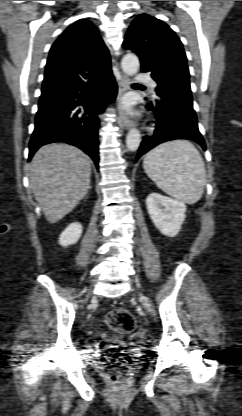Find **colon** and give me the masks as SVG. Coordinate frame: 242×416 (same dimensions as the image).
<instances>
[{
	"mask_svg": "<svg viewBox=\"0 0 242 416\" xmlns=\"http://www.w3.org/2000/svg\"><path fill=\"white\" fill-rule=\"evenodd\" d=\"M106 322L110 329L118 335L131 333L136 327L133 314L122 308L111 310ZM103 352V363L106 372L113 382L124 379L132 368V360L124 343L116 338H109L100 342Z\"/></svg>",
	"mask_w": 242,
	"mask_h": 416,
	"instance_id": "colon-1",
	"label": "colon"
}]
</instances>
